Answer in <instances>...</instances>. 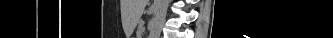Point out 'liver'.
I'll return each mask as SVG.
<instances>
[{
  "label": "liver",
  "mask_w": 333,
  "mask_h": 38,
  "mask_svg": "<svg viewBox=\"0 0 333 38\" xmlns=\"http://www.w3.org/2000/svg\"><path fill=\"white\" fill-rule=\"evenodd\" d=\"M148 0H133V22H138Z\"/></svg>",
  "instance_id": "obj_1"
}]
</instances>
